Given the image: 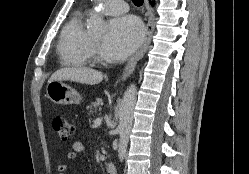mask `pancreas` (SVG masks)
Wrapping results in <instances>:
<instances>
[{
  "instance_id": "pancreas-1",
  "label": "pancreas",
  "mask_w": 249,
  "mask_h": 174,
  "mask_svg": "<svg viewBox=\"0 0 249 174\" xmlns=\"http://www.w3.org/2000/svg\"><path fill=\"white\" fill-rule=\"evenodd\" d=\"M103 101L102 99H97L95 102H92L89 106L86 107L89 110V115L94 116L96 114V110H102Z\"/></svg>"
}]
</instances>
